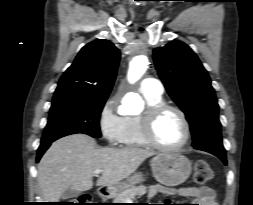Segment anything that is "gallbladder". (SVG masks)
<instances>
[{
	"label": "gallbladder",
	"mask_w": 253,
	"mask_h": 205,
	"mask_svg": "<svg viewBox=\"0 0 253 205\" xmlns=\"http://www.w3.org/2000/svg\"><path fill=\"white\" fill-rule=\"evenodd\" d=\"M79 192L73 189H66L65 192L62 194L61 198L62 199H69V198H74L79 196Z\"/></svg>",
	"instance_id": "gallbladder-1"
}]
</instances>
